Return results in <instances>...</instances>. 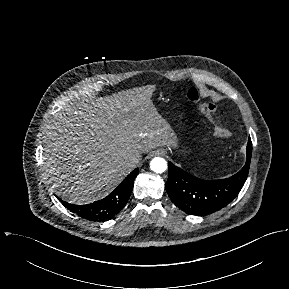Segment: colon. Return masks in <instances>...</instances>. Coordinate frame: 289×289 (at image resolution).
I'll list each match as a JSON object with an SVG mask.
<instances>
[{
  "label": "colon",
  "instance_id": "colon-1",
  "mask_svg": "<svg viewBox=\"0 0 289 289\" xmlns=\"http://www.w3.org/2000/svg\"><path fill=\"white\" fill-rule=\"evenodd\" d=\"M187 97L191 101H196L198 99V94L195 89H190L187 93ZM216 111V106L214 104H207L202 107V112L205 114V116L209 119V121L213 122L212 114ZM214 134L219 137L227 138L231 135L230 131L222 126L214 124L213 126Z\"/></svg>",
  "mask_w": 289,
  "mask_h": 289
}]
</instances>
